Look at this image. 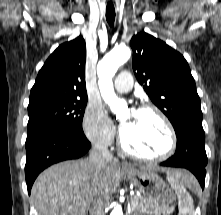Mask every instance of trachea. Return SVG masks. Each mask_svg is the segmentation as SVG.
Masks as SVG:
<instances>
[{
  "label": "trachea",
  "mask_w": 221,
  "mask_h": 215,
  "mask_svg": "<svg viewBox=\"0 0 221 215\" xmlns=\"http://www.w3.org/2000/svg\"><path fill=\"white\" fill-rule=\"evenodd\" d=\"M106 19L110 26H113L115 21V8L114 5L111 2L107 3L106 7Z\"/></svg>",
  "instance_id": "trachea-1"
}]
</instances>
